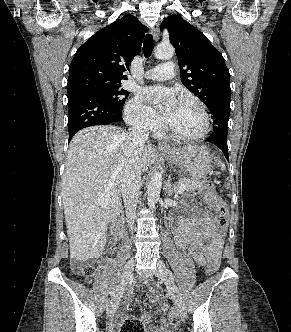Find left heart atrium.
<instances>
[{"label": "left heart atrium", "instance_id": "obj_1", "mask_svg": "<svg viewBox=\"0 0 291 332\" xmlns=\"http://www.w3.org/2000/svg\"><path fill=\"white\" fill-rule=\"evenodd\" d=\"M141 98L148 104H153L157 99L163 98L164 102L161 105L155 106L152 109L154 115L163 121L168 120L170 112L176 102L178 101L175 92L162 86L145 87L140 92Z\"/></svg>", "mask_w": 291, "mask_h": 332}]
</instances>
